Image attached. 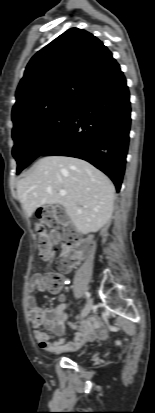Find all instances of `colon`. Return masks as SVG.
<instances>
[{"instance_id": "5ec220e1", "label": "colon", "mask_w": 155, "mask_h": 413, "mask_svg": "<svg viewBox=\"0 0 155 413\" xmlns=\"http://www.w3.org/2000/svg\"><path fill=\"white\" fill-rule=\"evenodd\" d=\"M35 215L38 218L36 228L39 236V252L43 261L51 262L58 244H61L64 249L56 263L59 272L48 268L43 277L45 287L51 292H58L63 285L61 272L69 269L86 250V246L78 244V238L66 222L61 207L38 205Z\"/></svg>"}]
</instances>
